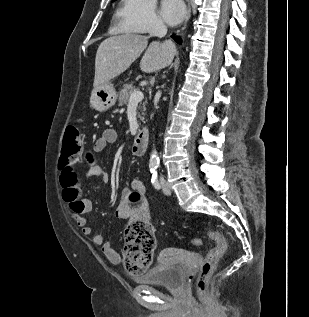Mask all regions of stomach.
<instances>
[{
	"label": "stomach",
	"instance_id": "0dacf381",
	"mask_svg": "<svg viewBox=\"0 0 309 317\" xmlns=\"http://www.w3.org/2000/svg\"><path fill=\"white\" fill-rule=\"evenodd\" d=\"M117 93L110 82H106L93 89L90 97V105L93 109L103 112L115 105Z\"/></svg>",
	"mask_w": 309,
	"mask_h": 317
}]
</instances>
